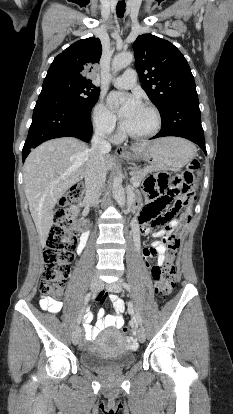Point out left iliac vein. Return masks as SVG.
Here are the masks:
<instances>
[{
	"label": "left iliac vein",
	"mask_w": 233,
	"mask_h": 414,
	"mask_svg": "<svg viewBox=\"0 0 233 414\" xmlns=\"http://www.w3.org/2000/svg\"><path fill=\"white\" fill-rule=\"evenodd\" d=\"M107 290L114 292V293H119L122 290V281L121 280H117L113 283L107 284L106 285ZM137 338L139 340V342L143 343L146 339V333H145V329L140 326L138 328L137 331Z\"/></svg>",
	"instance_id": "obj_1"
}]
</instances>
